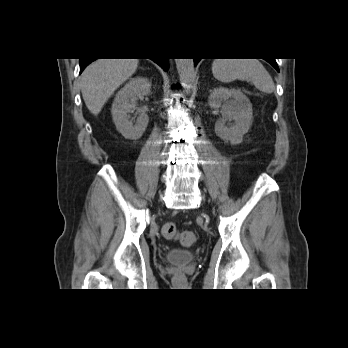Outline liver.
Returning <instances> with one entry per match:
<instances>
[{
  "label": "liver",
  "instance_id": "liver-1",
  "mask_svg": "<svg viewBox=\"0 0 348 348\" xmlns=\"http://www.w3.org/2000/svg\"><path fill=\"white\" fill-rule=\"evenodd\" d=\"M138 59H97L82 73L80 87L89 111L98 115L114 92L138 68Z\"/></svg>",
  "mask_w": 348,
  "mask_h": 348
}]
</instances>
